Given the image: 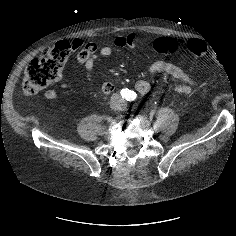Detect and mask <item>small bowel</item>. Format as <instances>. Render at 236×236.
<instances>
[{"instance_id":"1","label":"small bowel","mask_w":236,"mask_h":236,"mask_svg":"<svg viewBox=\"0 0 236 236\" xmlns=\"http://www.w3.org/2000/svg\"><path fill=\"white\" fill-rule=\"evenodd\" d=\"M137 41L138 39L135 34L118 36L114 40V46L116 48H132L136 45ZM175 41L179 46L188 45L189 42L182 39ZM71 44L74 49L78 50V53L76 55L77 62L83 65L87 72L93 77H99L95 68L96 61L102 57H112L114 54V50L110 46L99 48L95 42L85 43L82 39L79 38H75L74 40H72ZM148 73L151 76L156 74H167L181 81V83H178L173 87L174 92L181 95L189 94L192 91L193 87L196 85V79L194 77L193 69L186 71L179 66L169 62H153L148 68ZM62 87L68 88L70 87V85L68 83H62ZM135 88L140 94H147L152 90V84L146 80H138L135 83ZM101 90L104 94H110L114 90V85L110 81H104ZM57 95L58 94L55 89H49L45 93V97L49 100L55 99Z\"/></svg>"}]
</instances>
